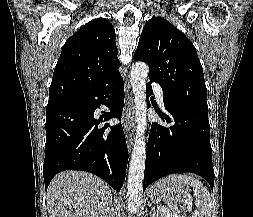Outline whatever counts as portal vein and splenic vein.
I'll return each mask as SVG.
<instances>
[{"label": "portal vein and splenic vein", "mask_w": 253, "mask_h": 217, "mask_svg": "<svg viewBox=\"0 0 253 217\" xmlns=\"http://www.w3.org/2000/svg\"><path fill=\"white\" fill-rule=\"evenodd\" d=\"M158 211L168 212V209L166 207H158Z\"/></svg>", "instance_id": "1"}]
</instances>
